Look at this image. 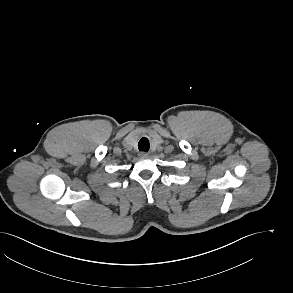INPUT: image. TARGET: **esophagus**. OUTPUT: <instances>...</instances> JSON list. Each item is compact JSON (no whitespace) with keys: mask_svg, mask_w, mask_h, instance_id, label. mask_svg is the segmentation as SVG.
Instances as JSON below:
<instances>
[{"mask_svg":"<svg viewBox=\"0 0 293 293\" xmlns=\"http://www.w3.org/2000/svg\"><path fill=\"white\" fill-rule=\"evenodd\" d=\"M139 156H140L141 158H146V157H148V153H146V152H140V153H139Z\"/></svg>","mask_w":293,"mask_h":293,"instance_id":"obj_1","label":"esophagus"}]
</instances>
